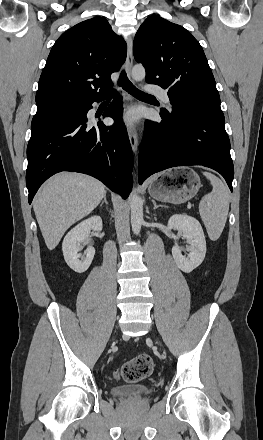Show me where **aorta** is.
Instances as JSON below:
<instances>
[{
	"label": "aorta",
	"instance_id": "1",
	"mask_svg": "<svg viewBox=\"0 0 263 440\" xmlns=\"http://www.w3.org/2000/svg\"><path fill=\"white\" fill-rule=\"evenodd\" d=\"M145 69L142 65H135L132 69V78L135 81H142L145 78ZM131 226L134 234L138 235L143 223V201L141 197L132 191L130 200Z\"/></svg>",
	"mask_w": 263,
	"mask_h": 440
}]
</instances>
